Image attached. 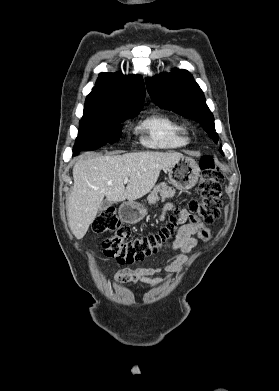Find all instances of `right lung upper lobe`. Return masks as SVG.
<instances>
[{
    "mask_svg": "<svg viewBox=\"0 0 279 391\" xmlns=\"http://www.w3.org/2000/svg\"><path fill=\"white\" fill-rule=\"evenodd\" d=\"M144 98L142 77L120 72L101 73L86 98L84 113L141 109Z\"/></svg>",
    "mask_w": 279,
    "mask_h": 391,
    "instance_id": "right-lung-upper-lobe-1",
    "label": "right lung upper lobe"
}]
</instances>
